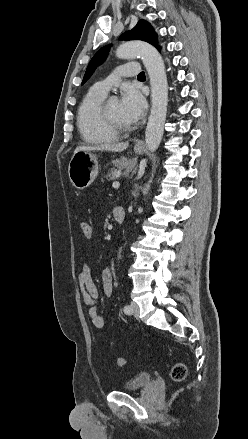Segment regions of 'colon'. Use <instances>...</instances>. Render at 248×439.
Returning a JSON list of instances; mask_svg holds the SVG:
<instances>
[{"mask_svg":"<svg viewBox=\"0 0 248 439\" xmlns=\"http://www.w3.org/2000/svg\"><path fill=\"white\" fill-rule=\"evenodd\" d=\"M82 233L86 239H90L92 237V227L89 223L83 222L81 225ZM116 364L119 367H122L126 364V360L124 358H117ZM187 375L186 366L183 363H176L173 365L171 369V378L175 382H182Z\"/></svg>","mask_w":248,"mask_h":439,"instance_id":"obj_1","label":"colon"}]
</instances>
